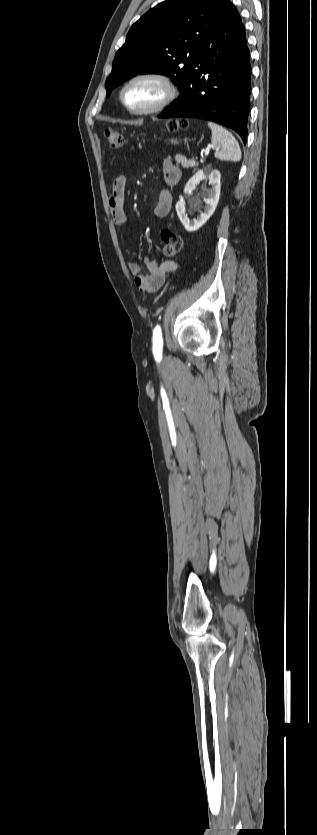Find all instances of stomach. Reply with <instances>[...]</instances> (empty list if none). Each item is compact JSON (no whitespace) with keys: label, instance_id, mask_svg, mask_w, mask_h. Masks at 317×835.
<instances>
[{"label":"stomach","instance_id":"stomach-1","mask_svg":"<svg viewBox=\"0 0 317 835\" xmlns=\"http://www.w3.org/2000/svg\"><path fill=\"white\" fill-rule=\"evenodd\" d=\"M170 142H171L172 144H176L178 141H177V139H171V140H170Z\"/></svg>","mask_w":317,"mask_h":835}]
</instances>
